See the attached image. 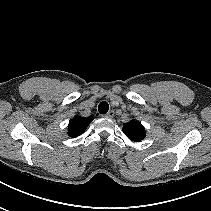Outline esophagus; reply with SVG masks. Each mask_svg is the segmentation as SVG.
<instances>
[{"mask_svg": "<svg viewBox=\"0 0 211 211\" xmlns=\"http://www.w3.org/2000/svg\"><path fill=\"white\" fill-rule=\"evenodd\" d=\"M113 116H114L113 110L109 111L107 114L104 115V117H107V118H113Z\"/></svg>", "mask_w": 211, "mask_h": 211, "instance_id": "esophagus-1", "label": "esophagus"}]
</instances>
